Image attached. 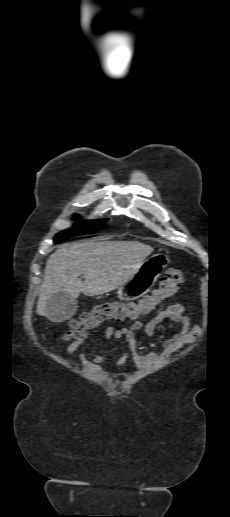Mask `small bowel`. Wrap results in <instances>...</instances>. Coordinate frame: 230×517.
<instances>
[{"instance_id": "small-bowel-1", "label": "small bowel", "mask_w": 230, "mask_h": 517, "mask_svg": "<svg viewBox=\"0 0 230 517\" xmlns=\"http://www.w3.org/2000/svg\"><path fill=\"white\" fill-rule=\"evenodd\" d=\"M165 320L179 324L180 329L165 340L160 352L141 353L137 349L136 332L142 329L147 336H155L158 325ZM197 333L198 328L190 321L186 313V308L182 304L177 303L160 308L155 315L145 323L135 321L129 327L121 329L109 327L105 332V339L124 340L128 347V350L118 359L117 365H121L126 359L132 358L138 367H144L174 353L183 345L192 341ZM86 339L87 337H83L69 344L66 349L67 354L74 357ZM86 353L87 350L85 348L82 349L79 357L85 364L92 368L100 367L107 359L104 355L87 357Z\"/></svg>"}]
</instances>
